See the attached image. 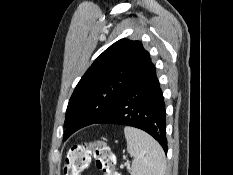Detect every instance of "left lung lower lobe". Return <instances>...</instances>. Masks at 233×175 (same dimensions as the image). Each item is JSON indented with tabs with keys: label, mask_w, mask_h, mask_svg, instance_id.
I'll use <instances>...</instances> for the list:
<instances>
[{
	"label": "left lung lower lobe",
	"mask_w": 233,
	"mask_h": 175,
	"mask_svg": "<svg viewBox=\"0 0 233 175\" xmlns=\"http://www.w3.org/2000/svg\"><path fill=\"white\" fill-rule=\"evenodd\" d=\"M120 124L142 129L167 152L166 112L155 66H150L122 93L114 105L93 124Z\"/></svg>",
	"instance_id": "obj_1"
}]
</instances>
